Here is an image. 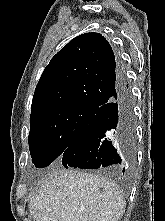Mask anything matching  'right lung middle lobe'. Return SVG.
Returning a JSON list of instances; mask_svg holds the SVG:
<instances>
[{"mask_svg":"<svg viewBox=\"0 0 165 221\" xmlns=\"http://www.w3.org/2000/svg\"><path fill=\"white\" fill-rule=\"evenodd\" d=\"M97 109L52 108L30 116L29 149L37 168L50 165L93 120Z\"/></svg>","mask_w":165,"mask_h":221,"instance_id":"obj_1","label":"right lung middle lobe"}]
</instances>
